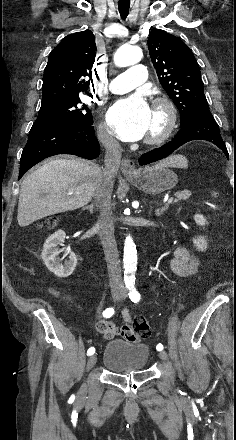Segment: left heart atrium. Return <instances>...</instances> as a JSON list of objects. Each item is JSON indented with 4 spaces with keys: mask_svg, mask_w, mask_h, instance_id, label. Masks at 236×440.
<instances>
[{
    "mask_svg": "<svg viewBox=\"0 0 236 440\" xmlns=\"http://www.w3.org/2000/svg\"><path fill=\"white\" fill-rule=\"evenodd\" d=\"M152 111L140 95L120 99L110 108L107 116L113 133L123 141L141 139L151 124Z\"/></svg>",
    "mask_w": 236,
    "mask_h": 440,
    "instance_id": "39dd6f15",
    "label": "left heart atrium"
}]
</instances>
